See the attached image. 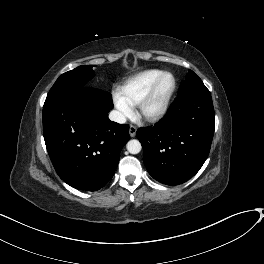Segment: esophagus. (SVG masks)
<instances>
[{"label": "esophagus", "mask_w": 264, "mask_h": 264, "mask_svg": "<svg viewBox=\"0 0 264 264\" xmlns=\"http://www.w3.org/2000/svg\"><path fill=\"white\" fill-rule=\"evenodd\" d=\"M137 132V128L134 125H130L129 127V134L131 137H135Z\"/></svg>", "instance_id": "esophagus-1"}]
</instances>
